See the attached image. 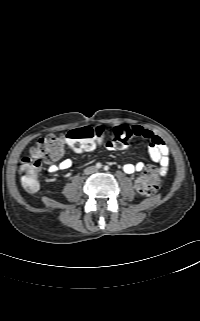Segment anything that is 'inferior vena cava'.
<instances>
[{
    "label": "inferior vena cava",
    "instance_id": "obj_1",
    "mask_svg": "<svg viewBox=\"0 0 200 321\" xmlns=\"http://www.w3.org/2000/svg\"><path fill=\"white\" fill-rule=\"evenodd\" d=\"M96 171H97V169H96L95 167L91 166V167H87V168L84 170V173H85L86 175H88V174L95 173Z\"/></svg>",
    "mask_w": 200,
    "mask_h": 321
}]
</instances>
